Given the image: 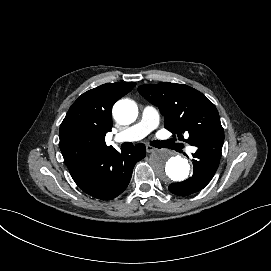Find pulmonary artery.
<instances>
[{
  "instance_id": "pulmonary-artery-1",
  "label": "pulmonary artery",
  "mask_w": 271,
  "mask_h": 271,
  "mask_svg": "<svg viewBox=\"0 0 271 271\" xmlns=\"http://www.w3.org/2000/svg\"><path fill=\"white\" fill-rule=\"evenodd\" d=\"M161 125V118L158 115L157 110L152 106L144 107L142 111L141 120L126 129L123 132L116 133L112 136L113 143L134 142L140 140L144 136L151 135ZM180 146L186 153L194 154L200 153L202 148L200 146H194L190 142L182 141Z\"/></svg>"
}]
</instances>
